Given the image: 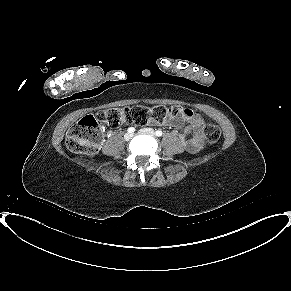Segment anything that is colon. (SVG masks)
I'll list each match as a JSON object with an SVG mask.
<instances>
[{"label":"colon","mask_w":291,"mask_h":291,"mask_svg":"<svg viewBox=\"0 0 291 291\" xmlns=\"http://www.w3.org/2000/svg\"><path fill=\"white\" fill-rule=\"evenodd\" d=\"M180 112L179 107L134 106L126 108H110L95 114L84 116L66 135L67 148L76 153L95 154L99 148L101 125L116 126L121 123L145 125L149 122H162L167 117H174ZM204 136L209 143L219 140L220 128L213 123L204 125Z\"/></svg>","instance_id":"5ec220e1"}]
</instances>
